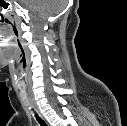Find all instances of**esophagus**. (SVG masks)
Masks as SVG:
<instances>
[{"instance_id":"1","label":"esophagus","mask_w":127,"mask_h":126,"mask_svg":"<svg viewBox=\"0 0 127 126\" xmlns=\"http://www.w3.org/2000/svg\"><path fill=\"white\" fill-rule=\"evenodd\" d=\"M29 95H30V101H31V104H32L33 108L36 110V112L38 113V115H39L42 119H44L42 113H41L40 110H39V107H38L36 101H35L34 98H33L32 93L29 92Z\"/></svg>"}]
</instances>
